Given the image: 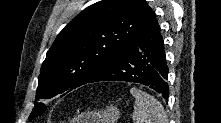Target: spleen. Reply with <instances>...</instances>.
I'll list each match as a JSON object with an SVG mask.
<instances>
[{
  "mask_svg": "<svg viewBox=\"0 0 221 123\" xmlns=\"http://www.w3.org/2000/svg\"><path fill=\"white\" fill-rule=\"evenodd\" d=\"M135 98L133 120L135 123H167V115L162 104L148 93L131 88Z\"/></svg>",
  "mask_w": 221,
  "mask_h": 123,
  "instance_id": "1",
  "label": "spleen"
}]
</instances>
